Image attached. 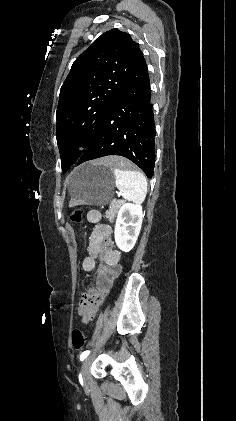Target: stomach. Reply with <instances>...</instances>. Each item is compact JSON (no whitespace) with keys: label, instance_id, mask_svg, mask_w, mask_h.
Instances as JSON below:
<instances>
[{"label":"stomach","instance_id":"obj_1","mask_svg":"<svg viewBox=\"0 0 236 421\" xmlns=\"http://www.w3.org/2000/svg\"><path fill=\"white\" fill-rule=\"evenodd\" d=\"M116 174L112 166L84 162L75 166L71 178V194L77 204H108L114 194Z\"/></svg>","mask_w":236,"mask_h":421}]
</instances>
